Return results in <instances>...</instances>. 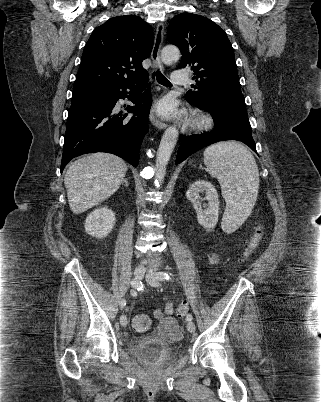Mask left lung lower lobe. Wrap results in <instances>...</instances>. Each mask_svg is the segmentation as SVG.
I'll return each mask as SVG.
<instances>
[{"mask_svg": "<svg viewBox=\"0 0 321 402\" xmlns=\"http://www.w3.org/2000/svg\"><path fill=\"white\" fill-rule=\"evenodd\" d=\"M196 107L212 115L214 129L209 133L186 136L178 149L176 164L194 152L224 140L241 141L257 153L243 94L216 95L205 105Z\"/></svg>", "mask_w": 321, "mask_h": 402, "instance_id": "obj_1", "label": "left lung lower lobe"}]
</instances>
